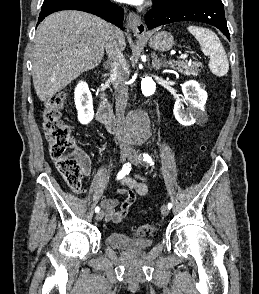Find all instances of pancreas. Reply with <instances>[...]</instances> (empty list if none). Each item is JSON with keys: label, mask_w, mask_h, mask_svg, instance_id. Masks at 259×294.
<instances>
[{"label": "pancreas", "mask_w": 259, "mask_h": 294, "mask_svg": "<svg viewBox=\"0 0 259 294\" xmlns=\"http://www.w3.org/2000/svg\"><path fill=\"white\" fill-rule=\"evenodd\" d=\"M171 67L178 70V72L183 73L184 75L197 76L200 72V68H203V65L197 61L191 62L190 64L187 61H181L177 64H172Z\"/></svg>", "instance_id": "pancreas-1"}]
</instances>
